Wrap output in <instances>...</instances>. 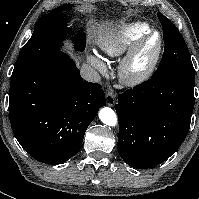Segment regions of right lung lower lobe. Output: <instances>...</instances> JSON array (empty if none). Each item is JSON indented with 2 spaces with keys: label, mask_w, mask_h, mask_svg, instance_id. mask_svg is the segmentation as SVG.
<instances>
[{
  "label": "right lung lower lobe",
  "mask_w": 199,
  "mask_h": 199,
  "mask_svg": "<svg viewBox=\"0 0 199 199\" xmlns=\"http://www.w3.org/2000/svg\"><path fill=\"white\" fill-rule=\"evenodd\" d=\"M101 85L84 81L73 60L58 51L11 79L9 117L20 145L36 160L60 164L80 149L100 107Z\"/></svg>",
  "instance_id": "obj_1"
}]
</instances>
